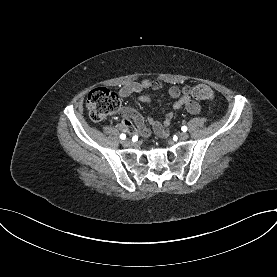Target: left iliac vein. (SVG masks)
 Here are the masks:
<instances>
[{
  "instance_id": "1",
  "label": "left iliac vein",
  "mask_w": 277,
  "mask_h": 277,
  "mask_svg": "<svg viewBox=\"0 0 277 277\" xmlns=\"http://www.w3.org/2000/svg\"><path fill=\"white\" fill-rule=\"evenodd\" d=\"M188 137H189V135H188V133H186V132H181V133L179 134V139H180V140H186V139H188Z\"/></svg>"
}]
</instances>
